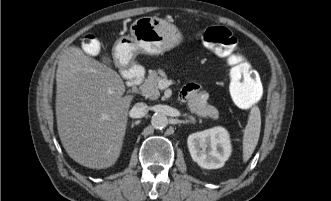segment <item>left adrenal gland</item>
<instances>
[{"label":"left adrenal gland","instance_id":"left-adrenal-gland-1","mask_svg":"<svg viewBox=\"0 0 331 201\" xmlns=\"http://www.w3.org/2000/svg\"><path fill=\"white\" fill-rule=\"evenodd\" d=\"M191 121H195V119L192 116L188 117Z\"/></svg>","mask_w":331,"mask_h":201}]
</instances>
